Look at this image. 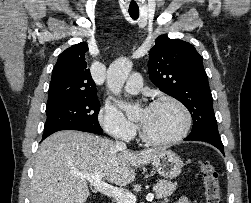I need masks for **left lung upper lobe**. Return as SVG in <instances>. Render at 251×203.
Here are the masks:
<instances>
[{"mask_svg": "<svg viewBox=\"0 0 251 203\" xmlns=\"http://www.w3.org/2000/svg\"><path fill=\"white\" fill-rule=\"evenodd\" d=\"M148 68L151 81L188 108L193 118L190 136L220 137L202 57L190 43L159 36L149 52Z\"/></svg>", "mask_w": 251, "mask_h": 203, "instance_id": "obj_1", "label": "left lung upper lobe"}]
</instances>
